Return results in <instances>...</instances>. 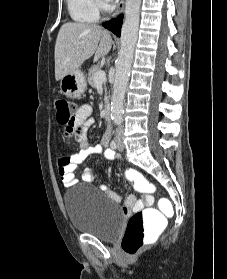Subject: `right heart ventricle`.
Masks as SVG:
<instances>
[{
    "label": "right heart ventricle",
    "instance_id": "obj_1",
    "mask_svg": "<svg viewBox=\"0 0 227 279\" xmlns=\"http://www.w3.org/2000/svg\"><path fill=\"white\" fill-rule=\"evenodd\" d=\"M70 17L77 22H95L98 19V11L91 0H67Z\"/></svg>",
    "mask_w": 227,
    "mask_h": 279
}]
</instances>
